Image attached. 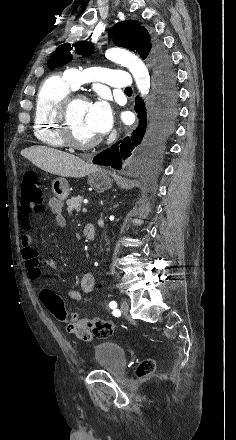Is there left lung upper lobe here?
<instances>
[{
	"instance_id": "1",
	"label": "left lung upper lobe",
	"mask_w": 236,
	"mask_h": 440,
	"mask_svg": "<svg viewBox=\"0 0 236 440\" xmlns=\"http://www.w3.org/2000/svg\"><path fill=\"white\" fill-rule=\"evenodd\" d=\"M108 34L113 37L117 46L137 53L142 59L148 58L152 63L156 60L166 64L170 63L161 42L135 20L117 23L109 30ZM93 49V44L87 41H79L72 45L62 44L51 54L47 67H61L71 62L73 57L71 52L88 55L92 53Z\"/></svg>"
}]
</instances>
